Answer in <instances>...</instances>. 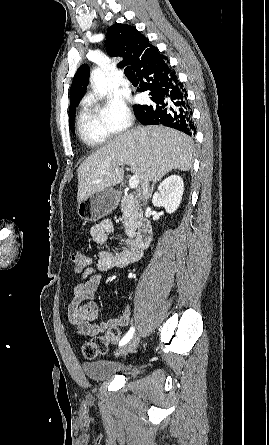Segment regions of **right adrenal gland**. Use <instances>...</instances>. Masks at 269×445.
<instances>
[{
	"label": "right adrenal gland",
	"mask_w": 269,
	"mask_h": 445,
	"mask_svg": "<svg viewBox=\"0 0 269 445\" xmlns=\"http://www.w3.org/2000/svg\"><path fill=\"white\" fill-rule=\"evenodd\" d=\"M155 183H156V182H154V183L152 184V186H151L150 193H149V196H150V197L152 196V193H153V190H154Z\"/></svg>",
	"instance_id": "right-adrenal-gland-1"
}]
</instances>
